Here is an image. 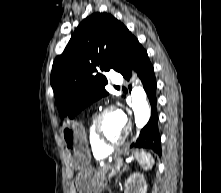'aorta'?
Here are the masks:
<instances>
[{"instance_id":"aorta-1","label":"aorta","mask_w":221,"mask_h":193,"mask_svg":"<svg viewBox=\"0 0 221 193\" xmlns=\"http://www.w3.org/2000/svg\"><path fill=\"white\" fill-rule=\"evenodd\" d=\"M133 83L131 91L132 109L135 116V124L138 128L144 127L150 118V107L146 100V93L141 86Z\"/></svg>"}]
</instances>
